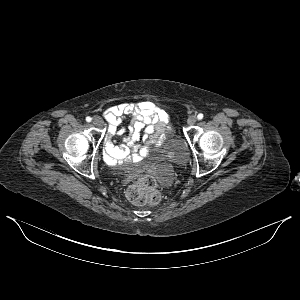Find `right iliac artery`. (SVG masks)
<instances>
[{"label":"right iliac artery","instance_id":"obj_1","mask_svg":"<svg viewBox=\"0 0 300 300\" xmlns=\"http://www.w3.org/2000/svg\"><path fill=\"white\" fill-rule=\"evenodd\" d=\"M91 120H92V118H91V117H89V116H88V117H86V121H87V122H91Z\"/></svg>","mask_w":300,"mask_h":300}]
</instances>
